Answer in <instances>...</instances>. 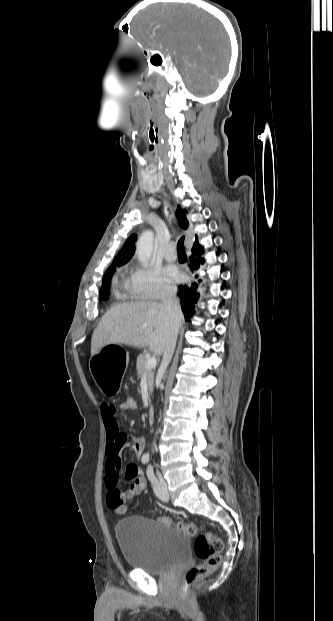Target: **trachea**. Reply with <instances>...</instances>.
Instances as JSON below:
<instances>
[{"mask_svg": "<svg viewBox=\"0 0 333 621\" xmlns=\"http://www.w3.org/2000/svg\"><path fill=\"white\" fill-rule=\"evenodd\" d=\"M177 252L180 255H185L186 254L185 253V248H184V239L183 238H180V240L178 241Z\"/></svg>", "mask_w": 333, "mask_h": 621, "instance_id": "1", "label": "trachea"}]
</instances>
